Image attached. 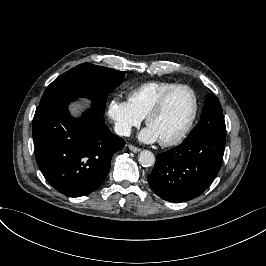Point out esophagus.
Wrapping results in <instances>:
<instances>
[{
	"label": "esophagus",
	"instance_id": "esophagus-1",
	"mask_svg": "<svg viewBox=\"0 0 266 266\" xmlns=\"http://www.w3.org/2000/svg\"><path fill=\"white\" fill-rule=\"evenodd\" d=\"M128 148L134 153H137V152L140 151V148H138V147H136L134 145H131V144H128Z\"/></svg>",
	"mask_w": 266,
	"mask_h": 266
}]
</instances>
